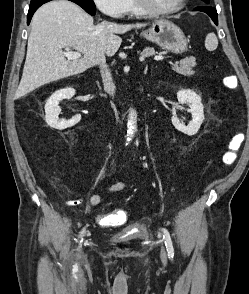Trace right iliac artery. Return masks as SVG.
Here are the masks:
<instances>
[{"label": "right iliac artery", "mask_w": 249, "mask_h": 294, "mask_svg": "<svg viewBox=\"0 0 249 294\" xmlns=\"http://www.w3.org/2000/svg\"><path fill=\"white\" fill-rule=\"evenodd\" d=\"M84 232H85V229H83L82 231H81V233H80V238H81V240H80V243L83 241V234H84Z\"/></svg>", "instance_id": "right-iliac-artery-1"}]
</instances>
